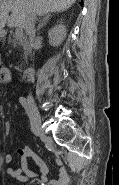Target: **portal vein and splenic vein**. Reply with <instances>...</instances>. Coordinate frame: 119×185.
Wrapping results in <instances>:
<instances>
[{"instance_id":"obj_1","label":"portal vein and splenic vein","mask_w":119,"mask_h":185,"mask_svg":"<svg viewBox=\"0 0 119 185\" xmlns=\"http://www.w3.org/2000/svg\"><path fill=\"white\" fill-rule=\"evenodd\" d=\"M15 34L16 35L22 34V28H20V27L16 28Z\"/></svg>"}]
</instances>
